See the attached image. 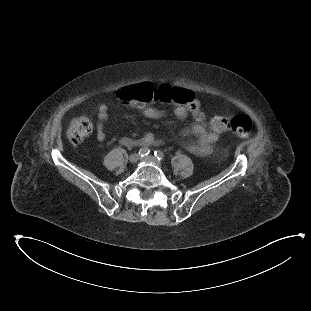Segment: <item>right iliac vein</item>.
Returning <instances> with one entry per match:
<instances>
[{
	"label": "right iliac vein",
	"mask_w": 311,
	"mask_h": 311,
	"mask_svg": "<svg viewBox=\"0 0 311 311\" xmlns=\"http://www.w3.org/2000/svg\"><path fill=\"white\" fill-rule=\"evenodd\" d=\"M139 159H140V155L137 153H134V154L130 155L129 162L130 163H136V162H138Z\"/></svg>",
	"instance_id": "obj_1"
}]
</instances>
